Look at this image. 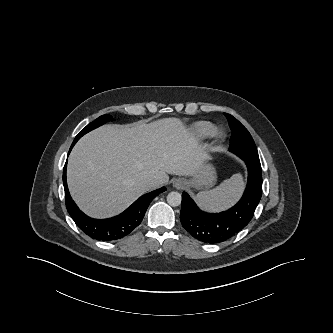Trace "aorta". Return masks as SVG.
Listing matches in <instances>:
<instances>
[{"mask_svg":"<svg viewBox=\"0 0 333 333\" xmlns=\"http://www.w3.org/2000/svg\"><path fill=\"white\" fill-rule=\"evenodd\" d=\"M182 196L179 192H170L167 196V202L171 206H178L181 204Z\"/></svg>","mask_w":333,"mask_h":333,"instance_id":"1","label":"aorta"}]
</instances>
